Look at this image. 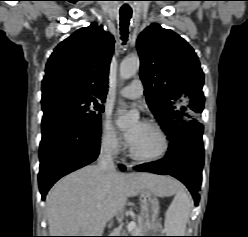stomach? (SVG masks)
<instances>
[{"label":"stomach","mask_w":248,"mask_h":237,"mask_svg":"<svg viewBox=\"0 0 248 237\" xmlns=\"http://www.w3.org/2000/svg\"><path fill=\"white\" fill-rule=\"evenodd\" d=\"M169 179L171 178L169 177ZM174 191V185L166 186L160 193H154L149 189H144L141 191L139 197L141 216L149 222V226L146 228V234H151L150 232H152L156 226V220L160 210L158 197L168 196L174 193Z\"/></svg>","instance_id":"1"}]
</instances>
